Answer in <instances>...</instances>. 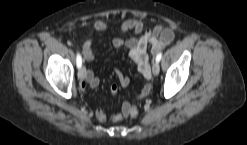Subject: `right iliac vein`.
<instances>
[{
    "label": "right iliac vein",
    "instance_id": "1",
    "mask_svg": "<svg viewBox=\"0 0 247 145\" xmlns=\"http://www.w3.org/2000/svg\"><path fill=\"white\" fill-rule=\"evenodd\" d=\"M85 77H86V69H85V67L83 66V67H81V68L79 69V71H78V78H79V80H84Z\"/></svg>",
    "mask_w": 247,
    "mask_h": 145
}]
</instances>
